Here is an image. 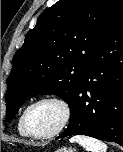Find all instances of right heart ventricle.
Instances as JSON below:
<instances>
[{
  "mask_svg": "<svg viewBox=\"0 0 123 152\" xmlns=\"http://www.w3.org/2000/svg\"><path fill=\"white\" fill-rule=\"evenodd\" d=\"M21 118H22V114L18 119V124H17L18 132L23 137H29L23 129Z\"/></svg>",
  "mask_w": 123,
  "mask_h": 152,
  "instance_id": "obj_1",
  "label": "right heart ventricle"
}]
</instances>
